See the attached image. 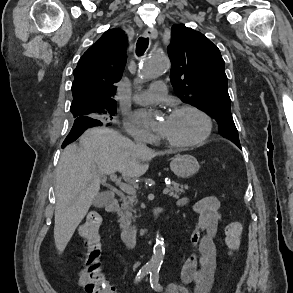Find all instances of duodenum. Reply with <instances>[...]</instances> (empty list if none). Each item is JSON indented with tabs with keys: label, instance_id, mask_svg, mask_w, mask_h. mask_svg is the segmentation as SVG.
Instances as JSON below:
<instances>
[{
	"label": "duodenum",
	"instance_id": "duodenum-1",
	"mask_svg": "<svg viewBox=\"0 0 293 293\" xmlns=\"http://www.w3.org/2000/svg\"><path fill=\"white\" fill-rule=\"evenodd\" d=\"M107 210L115 216L120 237L123 243L126 245L127 248L134 249L138 243L139 231L129 225V223H127V221L125 220L120 208L118 198L114 197L111 199V201L107 205ZM163 211L164 210L162 207L155 208L151 213V222H157Z\"/></svg>",
	"mask_w": 293,
	"mask_h": 293
}]
</instances>
